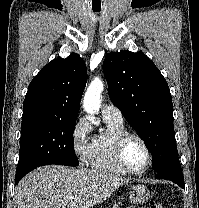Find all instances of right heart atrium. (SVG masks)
<instances>
[{
  "instance_id": "right-heart-atrium-1",
  "label": "right heart atrium",
  "mask_w": 199,
  "mask_h": 208,
  "mask_svg": "<svg viewBox=\"0 0 199 208\" xmlns=\"http://www.w3.org/2000/svg\"><path fill=\"white\" fill-rule=\"evenodd\" d=\"M72 149L79 159L84 164L89 161L92 151L91 127L86 118L80 117L74 123L71 131Z\"/></svg>"
}]
</instances>
